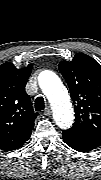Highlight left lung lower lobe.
<instances>
[{
	"label": "left lung lower lobe",
	"instance_id": "obj_1",
	"mask_svg": "<svg viewBox=\"0 0 101 180\" xmlns=\"http://www.w3.org/2000/svg\"><path fill=\"white\" fill-rule=\"evenodd\" d=\"M62 135L65 143L76 151L89 152L100 145V140L94 139L88 135L66 130L63 131Z\"/></svg>",
	"mask_w": 101,
	"mask_h": 180
}]
</instances>
